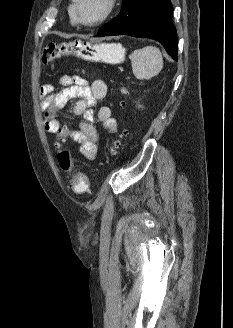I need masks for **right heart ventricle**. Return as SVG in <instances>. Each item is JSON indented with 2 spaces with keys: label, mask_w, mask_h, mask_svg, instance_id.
I'll use <instances>...</instances> for the list:
<instances>
[{
  "label": "right heart ventricle",
  "mask_w": 233,
  "mask_h": 328,
  "mask_svg": "<svg viewBox=\"0 0 233 328\" xmlns=\"http://www.w3.org/2000/svg\"><path fill=\"white\" fill-rule=\"evenodd\" d=\"M69 17H70V21L71 23H75V16H74V11H73V4L69 6Z\"/></svg>",
  "instance_id": "right-heart-ventricle-1"
}]
</instances>
